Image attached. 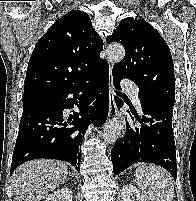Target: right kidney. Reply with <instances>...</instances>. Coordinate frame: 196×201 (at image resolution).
I'll return each mask as SVG.
<instances>
[{"label": "right kidney", "mask_w": 196, "mask_h": 201, "mask_svg": "<svg viewBox=\"0 0 196 201\" xmlns=\"http://www.w3.org/2000/svg\"><path fill=\"white\" fill-rule=\"evenodd\" d=\"M44 201H72V191L69 188H62L50 194Z\"/></svg>", "instance_id": "1"}]
</instances>
